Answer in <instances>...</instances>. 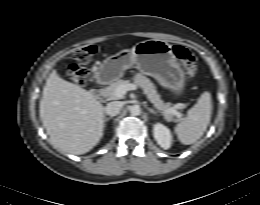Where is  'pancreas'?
Returning a JSON list of instances; mask_svg holds the SVG:
<instances>
[{
  "mask_svg": "<svg viewBox=\"0 0 260 205\" xmlns=\"http://www.w3.org/2000/svg\"><path fill=\"white\" fill-rule=\"evenodd\" d=\"M132 80L135 84L139 85L143 89L149 101L153 103L156 109L164 115L166 120H174V114L167 112L171 109H175V107H171L170 103H164L163 100H161L160 95L157 93L155 85L151 82L149 78L144 76L142 73H136L133 76ZM129 83V80H116L102 90L103 96L106 97L108 100H115L117 99L116 89L121 85H127Z\"/></svg>",
  "mask_w": 260,
  "mask_h": 205,
  "instance_id": "cf45deb5",
  "label": "pancreas"
}]
</instances>
